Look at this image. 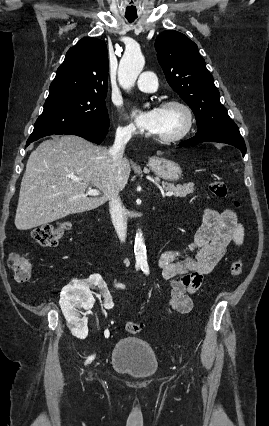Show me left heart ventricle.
Returning <instances> with one entry per match:
<instances>
[{"label":"left heart ventricle","instance_id":"b2bd125f","mask_svg":"<svg viewBox=\"0 0 269 426\" xmlns=\"http://www.w3.org/2000/svg\"><path fill=\"white\" fill-rule=\"evenodd\" d=\"M185 124V115L176 107L161 108L156 128L151 131L156 136H171L178 133Z\"/></svg>","mask_w":269,"mask_h":426}]
</instances>
